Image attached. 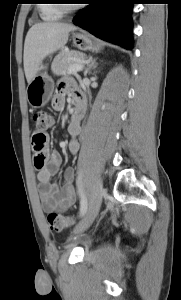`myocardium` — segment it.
Returning a JSON list of instances; mask_svg holds the SVG:
<instances>
[{"label": "myocardium", "instance_id": "1", "mask_svg": "<svg viewBox=\"0 0 181 300\" xmlns=\"http://www.w3.org/2000/svg\"><path fill=\"white\" fill-rule=\"evenodd\" d=\"M57 6L63 13H67L71 10H75L74 5H68L67 3H60Z\"/></svg>", "mask_w": 181, "mask_h": 300}]
</instances>
